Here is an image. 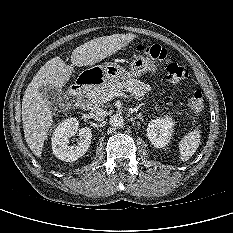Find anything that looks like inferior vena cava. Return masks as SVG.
<instances>
[{
  "label": "inferior vena cava",
  "instance_id": "602c4592",
  "mask_svg": "<svg viewBox=\"0 0 233 233\" xmlns=\"http://www.w3.org/2000/svg\"><path fill=\"white\" fill-rule=\"evenodd\" d=\"M90 117L96 121H103L107 115V112L101 108H95L90 111Z\"/></svg>",
  "mask_w": 233,
  "mask_h": 233
}]
</instances>
